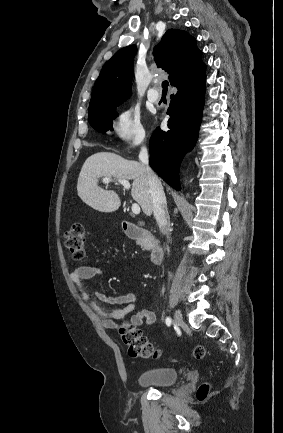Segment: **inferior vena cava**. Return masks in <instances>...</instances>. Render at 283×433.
Here are the masks:
<instances>
[{
    "mask_svg": "<svg viewBox=\"0 0 283 433\" xmlns=\"http://www.w3.org/2000/svg\"><path fill=\"white\" fill-rule=\"evenodd\" d=\"M139 158L144 162V164H146L147 178L149 180L150 192L153 198L154 217L158 225H160L163 235H167L168 241H171L169 237L170 223L165 192L157 174L153 172L152 168H150L148 164V152L145 146H142L139 152Z\"/></svg>",
    "mask_w": 283,
    "mask_h": 433,
    "instance_id": "1",
    "label": "inferior vena cava"
}]
</instances>
